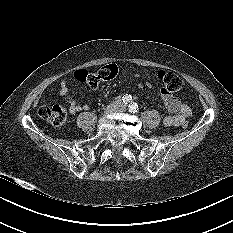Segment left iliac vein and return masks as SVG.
I'll return each mask as SVG.
<instances>
[{
	"label": "left iliac vein",
	"mask_w": 233,
	"mask_h": 233,
	"mask_svg": "<svg viewBox=\"0 0 233 233\" xmlns=\"http://www.w3.org/2000/svg\"><path fill=\"white\" fill-rule=\"evenodd\" d=\"M125 110V107L123 106L122 108H121V112H123Z\"/></svg>",
	"instance_id": "1"
}]
</instances>
